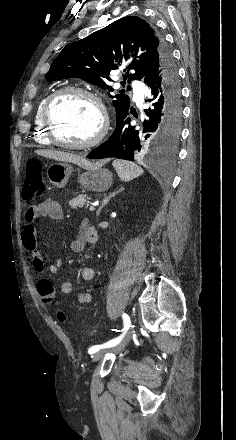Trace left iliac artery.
<instances>
[{
	"label": "left iliac artery",
	"mask_w": 236,
	"mask_h": 440,
	"mask_svg": "<svg viewBox=\"0 0 236 440\" xmlns=\"http://www.w3.org/2000/svg\"><path fill=\"white\" fill-rule=\"evenodd\" d=\"M122 318L124 323L123 334L102 345H95L90 347L88 350L89 354L96 353L97 351L103 348H111L117 345L121 341V339L124 337L125 333L127 332L128 328L130 327V317L126 313H123Z\"/></svg>",
	"instance_id": "obj_1"
}]
</instances>
